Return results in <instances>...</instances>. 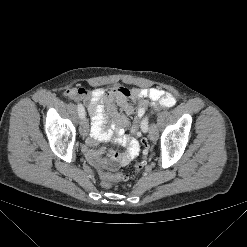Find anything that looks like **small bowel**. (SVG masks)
Instances as JSON below:
<instances>
[{
    "label": "small bowel",
    "mask_w": 247,
    "mask_h": 247,
    "mask_svg": "<svg viewBox=\"0 0 247 247\" xmlns=\"http://www.w3.org/2000/svg\"><path fill=\"white\" fill-rule=\"evenodd\" d=\"M120 88V87H119ZM116 89L74 87L64 92L71 101L87 102V109L92 119L91 133L86 140L84 154L99 172L116 170L135 159L140 151L138 141L126 134L130 124L129 116L135 119L143 117L150 105L159 104L164 107L173 106L175 97L159 88L128 89L123 94ZM111 117L112 123L104 129V124ZM113 140L115 144L126 149L124 153L111 150L109 158L103 157V149L98 148L100 142Z\"/></svg>",
    "instance_id": "c3829d8e"
}]
</instances>
